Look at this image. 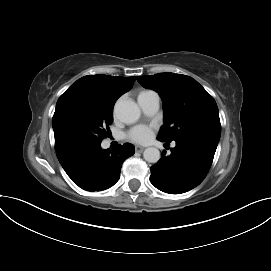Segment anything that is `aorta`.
I'll return each instance as SVG.
<instances>
[{
    "label": "aorta",
    "instance_id": "1",
    "mask_svg": "<svg viewBox=\"0 0 271 271\" xmlns=\"http://www.w3.org/2000/svg\"><path fill=\"white\" fill-rule=\"evenodd\" d=\"M114 113L117 119L126 124L135 123L141 114L138 105L130 99H119L115 104ZM143 157L149 163H157L160 151L155 147L146 148Z\"/></svg>",
    "mask_w": 271,
    "mask_h": 271
}]
</instances>
